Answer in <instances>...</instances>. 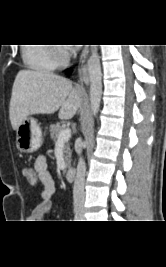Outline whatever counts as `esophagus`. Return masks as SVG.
<instances>
[{
  "label": "esophagus",
  "mask_w": 166,
  "mask_h": 267,
  "mask_svg": "<svg viewBox=\"0 0 166 267\" xmlns=\"http://www.w3.org/2000/svg\"><path fill=\"white\" fill-rule=\"evenodd\" d=\"M87 54H88V48L85 47L82 51V54H81V57H80V64H83L86 60V57H87ZM79 76H80V79H79V86L80 87H83L84 83H87L88 82V74H87V71L86 69L83 67L80 72H79Z\"/></svg>",
  "instance_id": "34e87169"
}]
</instances>
